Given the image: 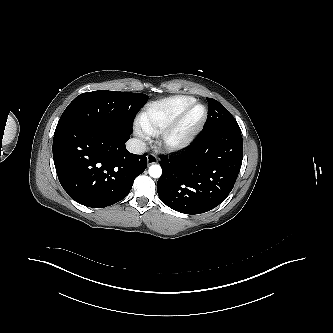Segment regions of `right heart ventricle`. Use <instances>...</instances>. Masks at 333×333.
<instances>
[{"instance_id": "right-heart-ventricle-1", "label": "right heart ventricle", "mask_w": 333, "mask_h": 333, "mask_svg": "<svg viewBox=\"0 0 333 333\" xmlns=\"http://www.w3.org/2000/svg\"><path fill=\"white\" fill-rule=\"evenodd\" d=\"M195 99L190 96L176 95L151 102L139 115L138 122L148 135H156L165 129L176 116Z\"/></svg>"}]
</instances>
